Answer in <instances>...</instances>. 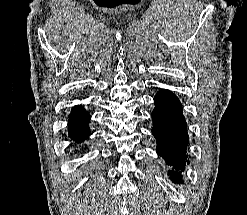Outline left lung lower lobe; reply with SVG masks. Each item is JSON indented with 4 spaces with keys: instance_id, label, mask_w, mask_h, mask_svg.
Listing matches in <instances>:
<instances>
[{
    "instance_id": "left-lung-lower-lobe-1",
    "label": "left lung lower lobe",
    "mask_w": 247,
    "mask_h": 215,
    "mask_svg": "<svg viewBox=\"0 0 247 215\" xmlns=\"http://www.w3.org/2000/svg\"><path fill=\"white\" fill-rule=\"evenodd\" d=\"M152 134L157 140V153L172 166L169 171L175 183L183 182L181 171L189 164L188 134L179 99L170 91H160L154 98Z\"/></svg>"
}]
</instances>
